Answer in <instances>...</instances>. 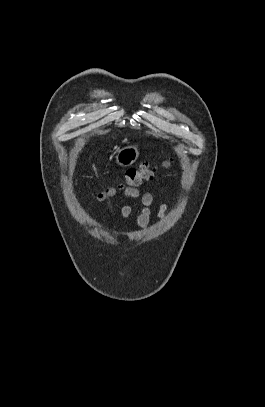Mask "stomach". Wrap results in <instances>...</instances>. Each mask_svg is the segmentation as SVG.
<instances>
[{"label":"stomach","instance_id":"stomach-1","mask_svg":"<svg viewBox=\"0 0 265 407\" xmlns=\"http://www.w3.org/2000/svg\"><path fill=\"white\" fill-rule=\"evenodd\" d=\"M139 157V150L136 146L130 145L120 149L116 155V163L120 166H130Z\"/></svg>","mask_w":265,"mask_h":407}]
</instances>
